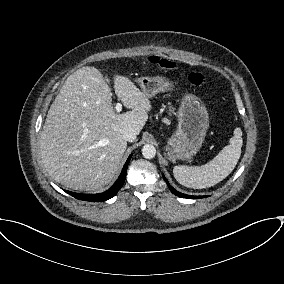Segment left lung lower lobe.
<instances>
[{
	"instance_id": "1",
	"label": "left lung lower lobe",
	"mask_w": 284,
	"mask_h": 284,
	"mask_svg": "<svg viewBox=\"0 0 284 284\" xmlns=\"http://www.w3.org/2000/svg\"><path fill=\"white\" fill-rule=\"evenodd\" d=\"M164 180L166 181L170 191L175 194L176 196H179V197H183V198H188V199H198V198H204L206 196H191V195H186V194H183V193H180L178 191H176L170 184L169 182L167 181V179L164 177Z\"/></svg>"
}]
</instances>
